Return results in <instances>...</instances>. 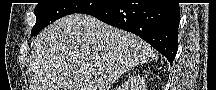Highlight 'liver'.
<instances>
[{"label": "liver", "mask_w": 216, "mask_h": 90, "mask_svg": "<svg viewBox=\"0 0 216 90\" xmlns=\"http://www.w3.org/2000/svg\"><path fill=\"white\" fill-rule=\"evenodd\" d=\"M32 48L33 90H110L154 52L138 36L87 14L60 18L35 38Z\"/></svg>", "instance_id": "obj_1"}]
</instances>
